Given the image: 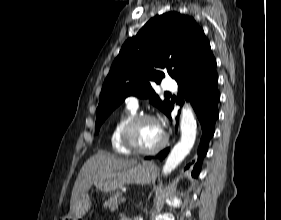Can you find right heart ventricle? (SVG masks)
I'll return each instance as SVG.
<instances>
[{"label": "right heart ventricle", "mask_w": 281, "mask_h": 220, "mask_svg": "<svg viewBox=\"0 0 281 220\" xmlns=\"http://www.w3.org/2000/svg\"><path fill=\"white\" fill-rule=\"evenodd\" d=\"M136 113L135 109L127 107L114 122L110 132V145L114 153L128 156L131 154L121 142V131L125 123Z\"/></svg>", "instance_id": "obj_1"}]
</instances>
